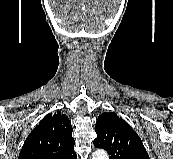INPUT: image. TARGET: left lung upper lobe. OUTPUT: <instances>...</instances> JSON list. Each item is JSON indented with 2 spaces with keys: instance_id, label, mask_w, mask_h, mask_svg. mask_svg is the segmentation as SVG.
Segmentation results:
<instances>
[{
  "instance_id": "1",
  "label": "left lung upper lobe",
  "mask_w": 173,
  "mask_h": 159,
  "mask_svg": "<svg viewBox=\"0 0 173 159\" xmlns=\"http://www.w3.org/2000/svg\"><path fill=\"white\" fill-rule=\"evenodd\" d=\"M94 145L105 149L109 159H149L138 134L122 118L113 112L99 115Z\"/></svg>"
}]
</instances>
